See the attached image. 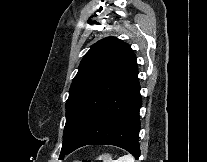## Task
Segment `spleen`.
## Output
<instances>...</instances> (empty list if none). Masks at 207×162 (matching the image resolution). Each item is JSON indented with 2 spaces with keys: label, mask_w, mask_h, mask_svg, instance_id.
Masks as SVG:
<instances>
[{
  "label": "spleen",
  "mask_w": 207,
  "mask_h": 162,
  "mask_svg": "<svg viewBox=\"0 0 207 162\" xmlns=\"http://www.w3.org/2000/svg\"><path fill=\"white\" fill-rule=\"evenodd\" d=\"M104 162H135V159L132 155L127 154L122 157H119L117 160L104 161Z\"/></svg>",
  "instance_id": "obj_1"
}]
</instances>
